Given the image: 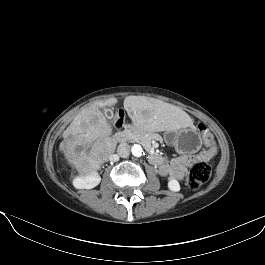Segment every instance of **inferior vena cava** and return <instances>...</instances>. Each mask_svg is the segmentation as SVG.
<instances>
[{"instance_id": "inferior-vena-cava-1", "label": "inferior vena cava", "mask_w": 265, "mask_h": 265, "mask_svg": "<svg viewBox=\"0 0 265 265\" xmlns=\"http://www.w3.org/2000/svg\"><path fill=\"white\" fill-rule=\"evenodd\" d=\"M117 153L122 158L128 157L130 155V145L128 143L119 144Z\"/></svg>"}]
</instances>
